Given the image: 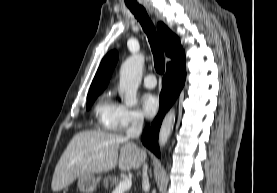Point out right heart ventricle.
I'll return each instance as SVG.
<instances>
[{"instance_id":"obj_1","label":"right heart ventricle","mask_w":277,"mask_h":193,"mask_svg":"<svg viewBox=\"0 0 277 193\" xmlns=\"http://www.w3.org/2000/svg\"><path fill=\"white\" fill-rule=\"evenodd\" d=\"M116 110L117 105L109 98L100 100L94 109V114L99 126L106 130H114L116 128Z\"/></svg>"}]
</instances>
